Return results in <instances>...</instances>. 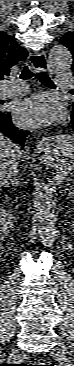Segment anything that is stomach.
I'll list each match as a JSON object with an SVG mask.
<instances>
[{
  "label": "stomach",
  "instance_id": "stomach-1",
  "mask_svg": "<svg viewBox=\"0 0 74 366\" xmlns=\"http://www.w3.org/2000/svg\"><path fill=\"white\" fill-rule=\"evenodd\" d=\"M70 143H72L71 141H68V140H64V141H61V143L59 145H56L55 147L58 148V149H62V147L65 145V146H71Z\"/></svg>",
  "mask_w": 74,
  "mask_h": 366
}]
</instances>
